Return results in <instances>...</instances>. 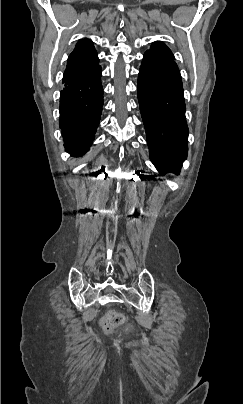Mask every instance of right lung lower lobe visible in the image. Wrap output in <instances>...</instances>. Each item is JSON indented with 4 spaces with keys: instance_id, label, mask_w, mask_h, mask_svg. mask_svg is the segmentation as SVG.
<instances>
[{
    "instance_id": "1",
    "label": "right lung lower lobe",
    "mask_w": 243,
    "mask_h": 404,
    "mask_svg": "<svg viewBox=\"0 0 243 404\" xmlns=\"http://www.w3.org/2000/svg\"><path fill=\"white\" fill-rule=\"evenodd\" d=\"M60 93V128L65 150L79 157L86 153L98 127L103 106L101 67L72 77Z\"/></svg>"
}]
</instances>
